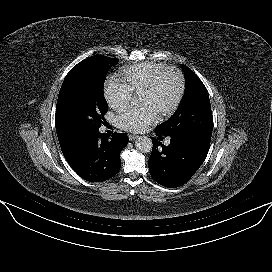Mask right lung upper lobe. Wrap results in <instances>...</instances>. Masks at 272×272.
Returning <instances> with one entry per match:
<instances>
[{"label": "right lung upper lobe", "instance_id": "obj_1", "mask_svg": "<svg viewBox=\"0 0 272 272\" xmlns=\"http://www.w3.org/2000/svg\"><path fill=\"white\" fill-rule=\"evenodd\" d=\"M56 131L61 150L65 158L72 156L76 152L77 147H79L84 142V140L88 138L70 134L57 125Z\"/></svg>", "mask_w": 272, "mask_h": 272}]
</instances>
